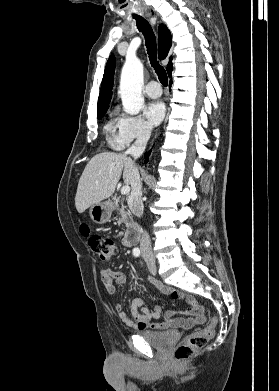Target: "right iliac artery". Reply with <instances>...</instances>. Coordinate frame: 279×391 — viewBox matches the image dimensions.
Segmentation results:
<instances>
[{
    "instance_id": "82829eb1",
    "label": "right iliac artery",
    "mask_w": 279,
    "mask_h": 391,
    "mask_svg": "<svg viewBox=\"0 0 279 391\" xmlns=\"http://www.w3.org/2000/svg\"><path fill=\"white\" fill-rule=\"evenodd\" d=\"M133 255H134L135 257H138V256L140 255V250H139V248H134V249H133Z\"/></svg>"
}]
</instances>
